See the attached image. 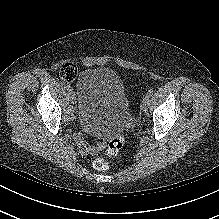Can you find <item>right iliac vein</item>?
<instances>
[{
  "label": "right iliac vein",
  "mask_w": 219,
  "mask_h": 219,
  "mask_svg": "<svg viewBox=\"0 0 219 219\" xmlns=\"http://www.w3.org/2000/svg\"><path fill=\"white\" fill-rule=\"evenodd\" d=\"M69 95H70V101H71V103L74 104L75 101H76L75 94L73 93V91H70V92H69Z\"/></svg>",
  "instance_id": "63e3f726"
}]
</instances>
